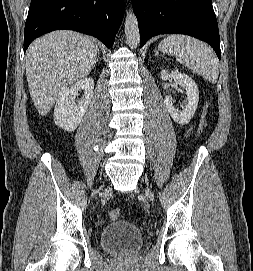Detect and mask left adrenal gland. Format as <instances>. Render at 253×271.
I'll use <instances>...</instances> for the list:
<instances>
[{
  "instance_id": "obj_1",
  "label": "left adrenal gland",
  "mask_w": 253,
  "mask_h": 271,
  "mask_svg": "<svg viewBox=\"0 0 253 271\" xmlns=\"http://www.w3.org/2000/svg\"><path fill=\"white\" fill-rule=\"evenodd\" d=\"M155 56H159V52L155 50Z\"/></svg>"
}]
</instances>
